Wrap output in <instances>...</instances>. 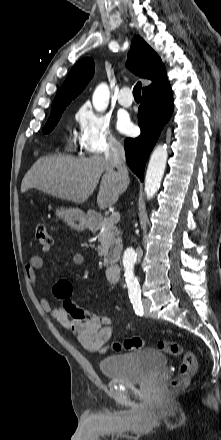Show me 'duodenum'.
Returning a JSON list of instances; mask_svg holds the SVG:
<instances>
[{
	"mask_svg": "<svg viewBox=\"0 0 221 440\" xmlns=\"http://www.w3.org/2000/svg\"><path fill=\"white\" fill-rule=\"evenodd\" d=\"M98 220L97 215H91L90 221L92 224H96ZM121 274V268L115 263L110 264L106 269L107 278L112 282H118L121 278Z\"/></svg>",
	"mask_w": 221,
	"mask_h": 440,
	"instance_id": "duodenum-1",
	"label": "duodenum"
}]
</instances>
